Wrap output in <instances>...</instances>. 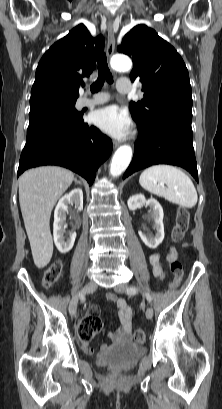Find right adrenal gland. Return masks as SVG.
<instances>
[{
  "label": "right adrenal gland",
  "instance_id": "obj_1",
  "mask_svg": "<svg viewBox=\"0 0 222 409\" xmlns=\"http://www.w3.org/2000/svg\"><path fill=\"white\" fill-rule=\"evenodd\" d=\"M76 184H81L80 181H78L77 179H75Z\"/></svg>",
  "mask_w": 222,
  "mask_h": 409
}]
</instances>
